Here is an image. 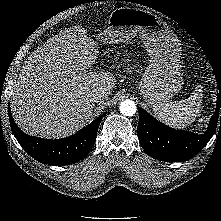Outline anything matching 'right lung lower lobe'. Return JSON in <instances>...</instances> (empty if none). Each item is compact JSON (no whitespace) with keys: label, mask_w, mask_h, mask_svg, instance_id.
Returning <instances> with one entry per match:
<instances>
[{"label":"right lung lower lobe","mask_w":221,"mask_h":221,"mask_svg":"<svg viewBox=\"0 0 221 221\" xmlns=\"http://www.w3.org/2000/svg\"><path fill=\"white\" fill-rule=\"evenodd\" d=\"M8 113L12 132L24 150L35 160L56 166L80 161L90 152L96 140L99 124L105 115L102 114L70 137L50 140L25 134L14 122L10 106Z\"/></svg>","instance_id":"obj_1"}]
</instances>
